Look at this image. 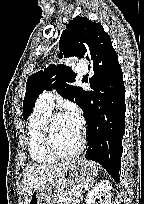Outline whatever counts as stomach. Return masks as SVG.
Returning a JSON list of instances; mask_svg holds the SVG:
<instances>
[{"mask_svg": "<svg viewBox=\"0 0 144 204\" xmlns=\"http://www.w3.org/2000/svg\"><path fill=\"white\" fill-rule=\"evenodd\" d=\"M97 168L93 163L79 159L66 166L53 182L40 185L29 198L28 204H58L56 196L70 188L82 190L94 181Z\"/></svg>", "mask_w": 144, "mask_h": 204, "instance_id": "0dacf381", "label": "stomach"}]
</instances>
